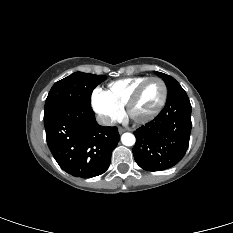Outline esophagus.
Segmentation results:
<instances>
[{
    "mask_svg": "<svg viewBox=\"0 0 233 233\" xmlns=\"http://www.w3.org/2000/svg\"><path fill=\"white\" fill-rule=\"evenodd\" d=\"M124 131H125V129H123V128L118 129L119 134H122Z\"/></svg>",
    "mask_w": 233,
    "mask_h": 233,
    "instance_id": "34e87169",
    "label": "esophagus"
}]
</instances>
